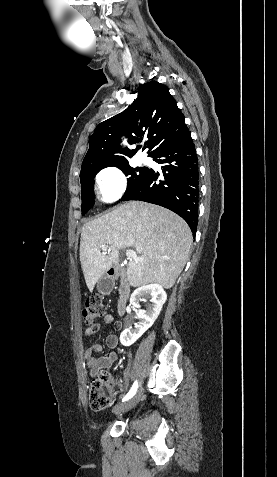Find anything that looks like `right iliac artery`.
Masks as SVG:
<instances>
[{
    "label": "right iliac artery",
    "instance_id": "82829eb1",
    "mask_svg": "<svg viewBox=\"0 0 277 477\" xmlns=\"http://www.w3.org/2000/svg\"><path fill=\"white\" fill-rule=\"evenodd\" d=\"M137 388H138V382L135 381L129 393L123 398V401L130 399L136 393Z\"/></svg>",
    "mask_w": 277,
    "mask_h": 477
}]
</instances>
